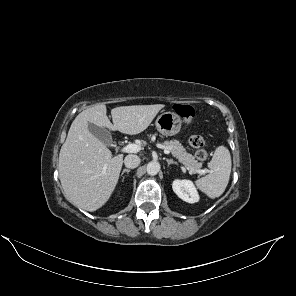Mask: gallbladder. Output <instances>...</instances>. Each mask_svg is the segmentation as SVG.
<instances>
[{
    "label": "gallbladder",
    "mask_w": 296,
    "mask_h": 296,
    "mask_svg": "<svg viewBox=\"0 0 296 296\" xmlns=\"http://www.w3.org/2000/svg\"><path fill=\"white\" fill-rule=\"evenodd\" d=\"M88 128L89 131L105 145L110 146L113 143L112 136L107 129L98 127L91 123H89Z\"/></svg>",
    "instance_id": "obj_1"
}]
</instances>
